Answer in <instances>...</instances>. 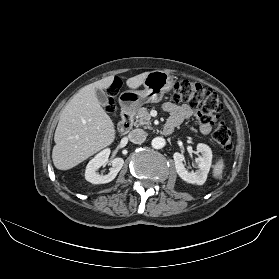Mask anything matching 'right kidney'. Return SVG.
<instances>
[{"instance_id": "obj_1", "label": "right kidney", "mask_w": 279, "mask_h": 279, "mask_svg": "<svg viewBox=\"0 0 279 279\" xmlns=\"http://www.w3.org/2000/svg\"><path fill=\"white\" fill-rule=\"evenodd\" d=\"M109 155L110 149L107 148L102 150L89 161L85 170V179L88 182L92 184H105L115 179L124 164V160L122 158L116 157L110 161L111 168L109 169L108 174L102 175L97 172L101 166H104L108 163Z\"/></svg>"}]
</instances>
